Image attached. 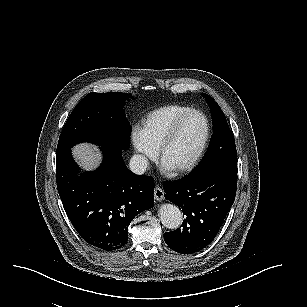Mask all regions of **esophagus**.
Listing matches in <instances>:
<instances>
[{
  "label": "esophagus",
  "instance_id": "34e87169",
  "mask_svg": "<svg viewBox=\"0 0 307 307\" xmlns=\"http://www.w3.org/2000/svg\"><path fill=\"white\" fill-rule=\"evenodd\" d=\"M154 197L157 201H162L164 199V192L160 187H155Z\"/></svg>",
  "mask_w": 307,
  "mask_h": 307
}]
</instances>
